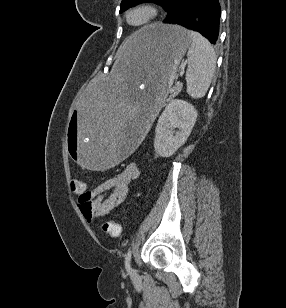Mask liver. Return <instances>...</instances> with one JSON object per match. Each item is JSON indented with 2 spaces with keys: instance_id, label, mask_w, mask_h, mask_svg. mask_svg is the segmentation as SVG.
Here are the masks:
<instances>
[{
  "instance_id": "liver-1",
  "label": "liver",
  "mask_w": 286,
  "mask_h": 308,
  "mask_svg": "<svg viewBox=\"0 0 286 308\" xmlns=\"http://www.w3.org/2000/svg\"><path fill=\"white\" fill-rule=\"evenodd\" d=\"M139 36L137 33L128 37L118 50V56L120 59L133 60L135 51L139 45Z\"/></svg>"
}]
</instances>
